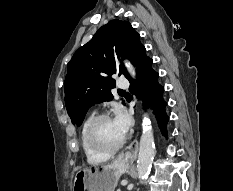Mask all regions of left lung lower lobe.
Wrapping results in <instances>:
<instances>
[{
  "mask_svg": "<svg viewBox=\"0 0 233 191\" xmlns=\"http://www.w3.org/2000/svg\"><path fill=\"white\" fill-rule=\"evenodd\" d=\"M152 59L145 57L137 68V82L131 78L130 92L143 100L144 106H152L163 135L167 134L168 116L165 112L166 102L163 100L164 88L158 83L159 74L152 69Z\"/></svg>",
  "mask_w": 233,
  "mask_h": 191,
  "instance_id": "1",
  "label": "left lung lower lobe"
}]
</instances>
